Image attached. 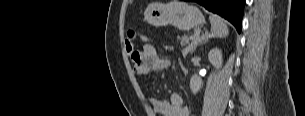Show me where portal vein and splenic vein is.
Wrapping results in <instances>:
<instances>
[{
  "label": "portal vein and splenic vein",
  "instance_id": "portal-vein-and-splenic-vein-1",
  "mask_svg": "<svg viewBox=\"0 0 305 116\" xmlns=\"http://www.w3.org/2000/svg\"><path fill=\"white\" fill-rule=\"evenodd\" d=\"M198 36H199V33L196 32V33L194 34V37H193L192 39L198 38Z\"/></svg>",
  "mask_w": 305,
  "mask_h": 116
}]
</instances>
